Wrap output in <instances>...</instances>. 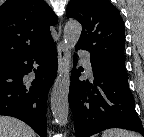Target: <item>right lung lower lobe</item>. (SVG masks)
<instances>
[{
  "label": "right lung lower lobe",
  "mask_w": 144,
  "mask_h": 137,
  "mask_svg": "<svg viewBox=\"0 0 144 137\" xmlns=\"http://www.w3.org/2000/svg\"><path fill=\"white\" fill-rule=\"evenodd\" d=\"M57 51L53 39L0 69V115L18 118L46 137L47 95L56 77ZM33 71L35 79L26 74Z\"/></svg>",
  "instance_id": "98d812e1"
}]
</instances>
